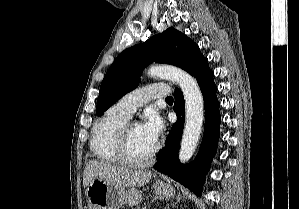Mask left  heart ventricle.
<instances>
[{"label":"left heart ventricle","mask_w":299,"mask_h":209,"mask_svg":"<svg viewBox=\"0 0 299 209\" xmlns=\"http://www.w3.org/2000/svg\"><path fill=\"white\" fill-rule=\"evenodd\" d=\"M155 145L143 133L140 125H133L129 130L128 153L131 159L141 161L148 157Z\"/></svg>","instance_id":"obj_1"}]
</instances>
